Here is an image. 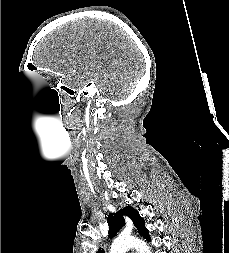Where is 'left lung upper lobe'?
Returning <instances> with one entry per match:
<instances>
[{"label":"left lung upper lobe","instance_id":"obj_1","mask_svg":"<svg viewBox=\"0 0 229 253\" xmlns=\"http://www.w3.org/2000/svg\"><path fill=\"white\" fill-rule=\"evenodd\" d=\"M123 215L130 217L136 226L139 234L143 236L148 241H151L149 232L144 226V220L139 215L138 211L132 208L131 206H127L117 213H110L107 218V222L109 225V237L112 238L116 235V233L125 225V220ZM96 253H105L104 249L100 248Z\"/></svg>","mask_w":229,"mask_h":253}]
</instances>
